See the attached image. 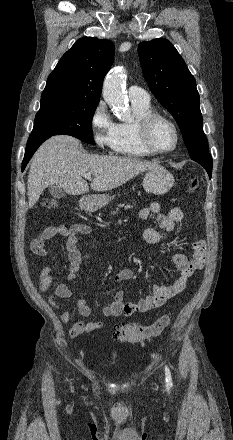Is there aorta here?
Wrapping results in <instances>:
<instances>
[{
    "instance_id": "aorta-1",
    "label": "aorta",
    "mask_w": 233,
    "mask_h": 440,
    "mask_svg": "<svg viewBox=\"0 0 233 440\" xmlns=\"http://www.w3.org/2000/svg\"><path fill=\"white\" fill-rule=\"evenodd\" d=\"M124 72L121 69L110 71L103 83L102 95L106 103L112 108L116 116L121 120L130 118L124 92Z\"/></svg>"
}]
</instances>
